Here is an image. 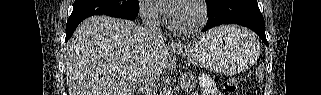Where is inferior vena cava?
I'll use <instances>...</instances> for the list:
<instances>
[{
	"label": "inferior vena cava",
	"instance_id": "602c4592",
	"mask_svg": "<svg viewBox=\"0 0 321 95\" xmlns=\"http://www.w3.org/2000/svg\"><path fill=\"white\" fill-rule=\"evenodd\" d=\"M140 14L143 19L145 32L153 38L155 42H163L164 38L162 36L157 11L152 6L144 5L140 9ZM155 79V76L149 72L142 74L138 82L140 95H157Z\"/></svg>",
	"mask_w": 321,
	"mask_h": 95
}]
</instances>
